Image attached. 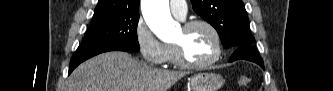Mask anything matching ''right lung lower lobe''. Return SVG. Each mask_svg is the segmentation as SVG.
Returning a JSON list of instances; mask_svg holds the SVG:
<instances>
[{"instance_id": "1", "label": "right lung lower lobe", "mask_w": 333, "mask_h": 91, "mask_svg": "<svg viewBox=\"0 0 333 91\" xmlns=\"http://www.w3.org/2000/svg\"><path fill=\"white\" fill-rule=\"evenodd\" d=\"M108 51H131L127 47L119 45H99V46H79L76 52L74 53L69 67L70 74L76 66H78L83 61L103 52Z\"/></svg>"}]
</instances>
